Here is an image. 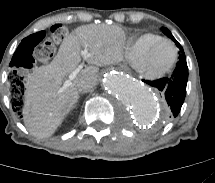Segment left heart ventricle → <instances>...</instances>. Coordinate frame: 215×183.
<instances>
[{
    "instance_id": "left-heart-ventricle-1",
    "label": "left heart ventricle",
    "mask_w": 215,
    "mask_h": 183,
    "mask_svg": "<svg viewBox=\"0 0 215 183\" xmlns=\"http://www.w3.org/2000/svg\"><path fill=\"white\" fill-rule=\"evenodd\" d=\"M172 54V47L168 43H162L150 54L148 58V66L151 69L161 68L169 63Z\"/></svg>"
}]
</instances>
